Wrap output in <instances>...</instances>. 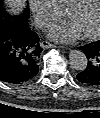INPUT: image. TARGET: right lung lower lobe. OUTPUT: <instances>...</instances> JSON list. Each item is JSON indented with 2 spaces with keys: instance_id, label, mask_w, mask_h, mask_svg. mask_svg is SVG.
Instances as JSON below:
<instances>
[{
  "instance_id": "1",
  "label": "right lung lower lobe",
  "mask_w": 100,
  "mask_h": 118,
  "mask_svg": "<svg viewBox=\"0 0 100 118\" xmlns=\"http://www.w3.org/2000/svg\"><path fill=\"white\" fill-rule=\"evenodd\" d=\"M42 48L28 23L0 27V80L11 84L30 81L39 71Z\"/></svg>"
}]
</instances>
